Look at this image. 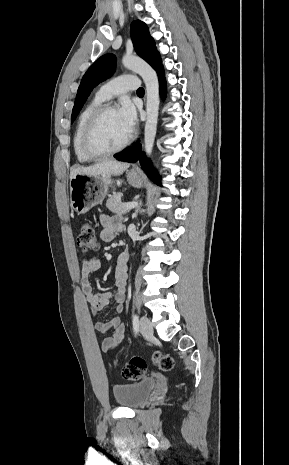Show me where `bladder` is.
I'll use <instances>...</instances> for the list:
<instances>
[{
    "mask_svg": "<svg viewBox=\"0 0 289 465\" xmlns=\"http://www.w3.org/2000/svg\"><path fill=\"white\" fill-rule=\"evenodd\" d=\"M155 387L156 380L147 378L134 383L114 385L113 395L118 405L136 408L147 402Z\"/></svg>",
    "mask_w": 289,
    "mask_h": 465,
    "instance_id": "1",
    "label": "bladder"
}]
</instances>
